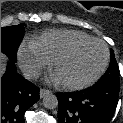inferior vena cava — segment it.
I'll return each mask as SVG.
<instances>
[{
	"label": "inferior vena cava",
	"instance_id": "1",
	"mask_svg": "<svg viewBox=\"0 0 123 123\" xmlns=\"http://www.w3.org/2000/svg\"><path fill=\"white\" fill-rule=\"evenodd\" d=\"M40 71L36 68H26L23 70V76L25 79H36L39 78Z\"/></svg>",
	"mask_w": 123,
	"mask_h": 123
}]
</instances>
